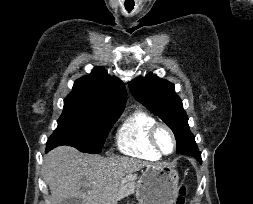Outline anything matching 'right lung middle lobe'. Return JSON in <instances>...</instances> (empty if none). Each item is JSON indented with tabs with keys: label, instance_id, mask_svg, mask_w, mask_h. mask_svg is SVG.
<instances>
[{
	"label": "right lung middle lobe",
	"instance_id": "obj_1",
	"mask_svg": "<svg viewBox=\"0 0 253 204\" xmlns=\"http://www.w3.org/2000/svg\"><path fill=\"white\" fill-rule=\"evenodd\" d=\"M119 114L67 97L58 120V127L48 138L46 147L70 145L86 153H100L113 123Z\"/></svg>",
	"mask_w": 253,
	"mask_h": 204
}]
</instances>
